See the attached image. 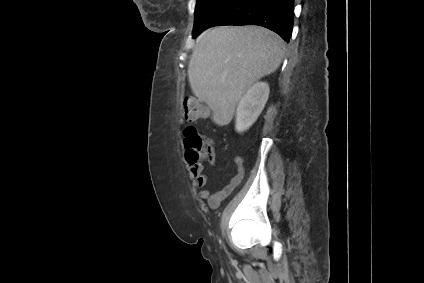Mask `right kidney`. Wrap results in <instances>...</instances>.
<instances>
[{"mask_svg":"<svg viewBox=\"0 0 424 283\" xmlns=\"http://www.w3.org/2000/svg\"><path fill=\"white\" fill-rule=\"evenodd\" d=\"M269 85L256 82L243 95L236 109L235 128L238 133L248 130L257 120L269 97Z\"/></svg>","mask_w":424,"mask_h":283,"instance_id":"right-kidney-1","label":"right kidney"}]
</instances>
